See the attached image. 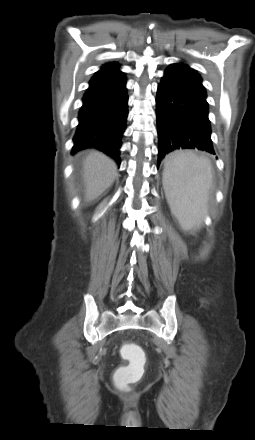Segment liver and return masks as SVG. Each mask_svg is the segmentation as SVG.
<instances>
[{"label":"liver","instance_id":"1","mask_svg":"<svg viewBox=\"0 0 255 440\" xmlns=\"http://www.w3.org/2000/svg\"><path fill=\"white\" fill-rule=\"evenodd\" d=\"M117 175L115 162L99 151H91L83 161L85 199L99 197L114 182Z\"/></svg>","mask_w":255,"mask_h":440}]
</instances>
